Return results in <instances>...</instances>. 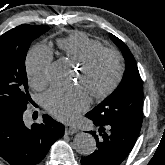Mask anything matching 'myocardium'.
<instances>
[{"label": "myocardium", "instance_id": "myocardium-1", "mask_svg": "<svg viewBox=\"0 0 165 165\" xmlns=\"http://www.w3.org/2000/svg\"><path fill=\"white\" fill-rule=\"evenodd\" d=\"M104 55H110L115 59L116 65H117V71H116L115 78L113 79L111 84L106 89H104L100 92H90L89 93V95L92 98L97 99V100H102V99L109 97L111 94L114 93V91L120 85L123 75H124V71H125V64H124L122 55L114 49L103 47V48H100V49L92 52L87 58H85L78 65L79 71L83 75H85L95 65L97 60Z\"/></svg>", "mask_w": 165, "mask_h": 165}]
</instances>
